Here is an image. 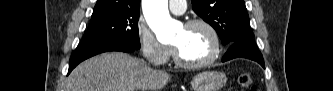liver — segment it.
<instances>
[{
    "label": "liver",
    "mask_w": 333,
    "mask_h": 91,
    "mask_svg": "<svg viewBox=\"0 0 333 91\" xmlns=\"http://www.w3.org/2000/svg\"><path fill=\"white\" fill-rule=\"evenodd\" d=\"M170 80V74L143 60L112 52L79 64L67 78L65 91H160Z\"/></svg>",
    "instance_id": "liver-1"
}]
</instances>
